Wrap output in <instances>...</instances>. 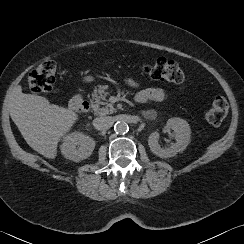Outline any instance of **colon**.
<instances>
[{"mask_svg":"<svg viewBox=\"0 0 244 244\" xmlns=\"http://www.w3.org/2000/svg\"><path fill=\"white\" fill-rule=\"evenodd\" d=\"M141 71L154 80L181 84L186 75L179 64L166 58H157L143 64ZM57 66L54 61L46 60L34 68L28 76V88L32 93H45L53 89ZM228 112L227 100L222 96L213 99L212 106L206 111L205 118L213 126L220 125Z\"/></svg>","mask_w":244,"mask_h":244,"instance_id":"colon-1","label":"colon"}]
</instances>
